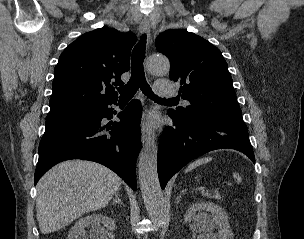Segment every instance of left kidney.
I'll list each match as a JSON object with an SVG mask.
<instances>
[{"mask_svg": "<svg viewBox=\"0 0 304 239\" xmlns=\"http://www.w3.org/2000/svg\"><path fill=\"white\" fill-rule=\"evenodd\" d=\"M191 220L192 230L199 233L197 239H234L227 213L215 203L198 202L189 206L184 221L187 223ZM215 228L218 232L213 235L212 230Z\"/></svg>", "mask_w": 304, "mask_h": 239, "instance_id": "1", "label": "left kidney"}]
</instances>
